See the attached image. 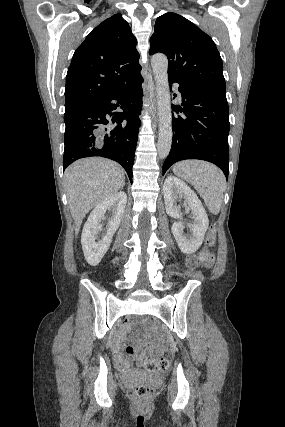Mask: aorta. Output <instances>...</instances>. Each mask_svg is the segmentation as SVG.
Listing matches in <instances>:
<instances>
[{"label":"aorta","mask_w":285,"mask_h":427,"mask_svg":"<svg viewBox=\"0 0 285 427\" xmlns=\"http://www.w3.org/2000/svg\"><path fill=\"white\" fill-rule=\"evenodd\" d=\"M152 71L156 84L159 116V135L157 152L161 159L169 155L172 144V113L168 82V59L163 54H155L151 59Z\"/></svg>","instance_id":"1"}]
</instances>
